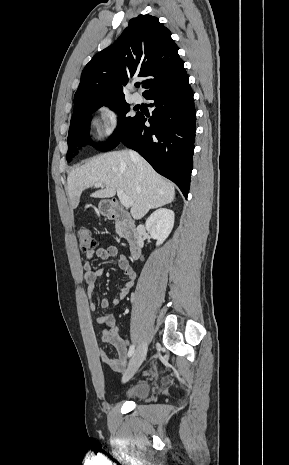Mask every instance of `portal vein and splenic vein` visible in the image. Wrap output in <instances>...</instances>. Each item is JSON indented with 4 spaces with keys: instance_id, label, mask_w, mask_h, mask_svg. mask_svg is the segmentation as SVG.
<instances>
[{
    "instance_id": "obj_1",
    "label": "portal vein and splenic vein",
    "mask_w": 289,
    "mask_h": 465,
    "mask_svg": "<svg viewBox=\"0 0 289 465\" xmlns=\"http://www.w3.org/2000/svg\"><path fill=\"white\" fill-rule=\"evenodd\" d=\"M96 187H101L102 186V183H96L95 184ZM117 195H118V198L121 202V204L125 207V208H130L133 204V201L130 197H128L122 190L120 189H117Z\"/></svg>"
}]
</instances>
